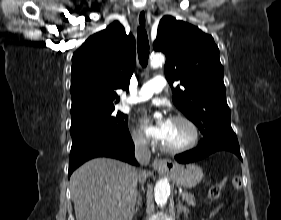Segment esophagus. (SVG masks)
<instances>
[{
    "label": "esophagus",
    "mask_w": 281,
    "mask_h": 220,
    "mask_svg": "<svg viewBox=\"0 0 281 220\" xmlns=\"http://www.w3.org/2000/svg\"><path fill=\"white\" fill-rule=\"evenodd\" d=\"M137 23L139 26L147 27V15L145 10L141 9L137 15ZM153 167L156 171L160 173H167L174 168V163L170 159H159L156 158L153 162Z\"/></svg>",
    "instance_id": "34e87169"
}]
</instances>
